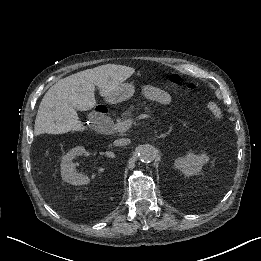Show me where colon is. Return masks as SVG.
I'll return each mask as SVG.
<instances>
[{
	"label": "colon",
	"mask_w": 261,
	"mask_h": 261,
	"mask_svg": "<svg viewBox=\"0 0 261 261\" xmlns=\"http://www.w3.org/2000/svg\"><path fill=\"white\" fill-rule=\"evenodd\" d=\"M169 81L172 84L182 85V86H184V87H186L188 89H191V88L195 87V84L193 82L184 79L179 74H170L169 75Z\"/></svg>",
	"instance_id": "1"
}]
</instances>
